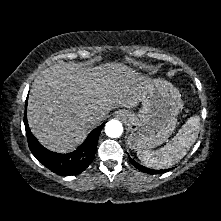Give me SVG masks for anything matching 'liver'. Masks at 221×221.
<instances>
[{"label": "liver", "instance_id": "1", "mask_svg": "<svg viewBox=\"0 0 221 221\" xmlns=\"http://www.w3.org/2000/svg\"><path fill=\"white\" fill-rule=\"evenodd\" d=\"M149 79L120 62L94 68L54 64L34 80L27 106L32 133L47 149L66 153L110 110L139 104ZM90 115L99 119L86 121Z\"/></svg>", "mask_w": 221, "mask_h": 221}]
</instances>
